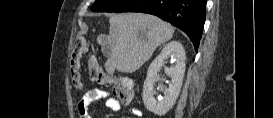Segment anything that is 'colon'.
Here are the masks:
<instances>
[{
  "instance_id": "obj_1",
  "label": "colon",
  "mask_w": 273,
  "mask_h": 118,
  "mask_svg": "<svg viewBox=\"0 0 273 118\" xmlns=\"http://www.w3.org/2000/svg\"><path fill=\"white\" fill-rule=\"evenodd\" d=\"M89 43L87 40H81L74 46L70 62H69V76L73 85L76 88L81 86V77L79 69L80 58L88 51ZM88 74L92 81L106 86H111L114 94L120 103L128 105L134 97L132 88V81L125 77L109 76L104 74L98 67L94 58L89 59Z\"/></svg>"
}]
</instances>
